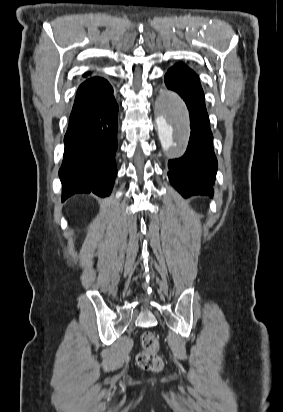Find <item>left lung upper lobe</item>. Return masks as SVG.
Returning a JSON list of instances; mask_svg holds the SVG:
<instances>
[{
	"instance_id": "1",
	"label": "left lung upper lobe",
	"mask_w": 283,
	"mask_h": 412,
	"mask_svg": "<svg viewBox=\"0 0 283 412\" xmlns=\"http://www.w3.org/2000/svg\"><path fill=\"white\" fill-rule=\"evenodd\" d=\"M177 70H183V71H192L191 69H189V67H187L185 64L183 63H178L175 66H173L172 68H170L168 70L169 71H177Z\"/></svg>"
}]
</instances>
